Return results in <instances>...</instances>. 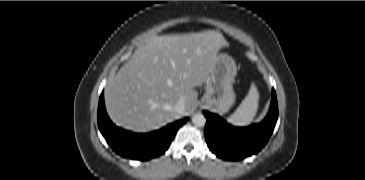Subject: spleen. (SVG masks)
I'll return each mask as SVG.
<instances>
[{
  "label": "spleen",
  "instance_id": "obj_1",
  "mask_svg": "<svg viewBox=\"0 0 365 180\" xmlns=\"http://www.w3.org/2000/svg\"><path fill=\"white\" fill-rule=\"evenodd\" d=\"M259 98L257 87L252 83L248 95L227 119L228 122L234 126H247L251 124L258 111Z\"/></svg>",
  "mask_w": 365,
  "mask_h": 180
}]
</instances>
